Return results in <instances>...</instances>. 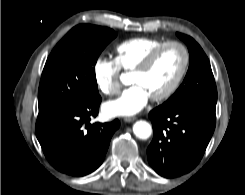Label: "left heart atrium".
I'll list each match as a JSON object with an SVG mask.
<instances>
[{
    "instance_id": "left-heart-atrium-1",
    "label": "left heart atrium",
    "mask_w": 245,
    "mask_h": 195,
    "mask_svg": "<svg viewBox=\"0 0 245 195\" xmlns=\"http://www.w3.org/2000/svg\"><path fill=\"white\" fill-rule=\"evenodd\" d=\"M150 95L139 84H134L116 100L104 104L103 110L109 116H130L138 113L147 104Z\"/></svg>"
}]
</instances>
